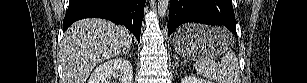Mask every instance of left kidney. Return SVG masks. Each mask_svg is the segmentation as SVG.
<instances>
[{"mask_svg":"<svg viewBox=\"0 0 307 83\" xmlns=\"http://www.w3.org/2000/svg\"><path fill=\"white\" fill-rule=\"evenodd\" d=\"M181 83H210V82L201 78H197L195 76H185L182 79Z\"/></svg>","mask_w":307,"mask_h":83,"instance_id":"1","label":"left kidney"}]
</instances>
